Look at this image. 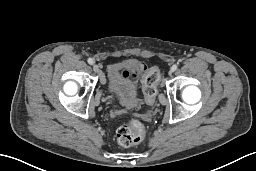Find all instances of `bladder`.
<instances>
[{
    "label": "bladder",
    "instance_id": "31cf9c89",
    "mask_svg": "<svg viewBox=\"0 0 256 171\" xmlns=\"http://www.w3.org/2000/svg\"><path fill=\"white\" fill-rule=\"evenodd\" d=\"M138 72L136 62L126 63L123 68L113 65L108 70L109 93L127 108H137L141 104Z\"/></svg>",
    "mask_w": 256,
    "mask_h": 171
}]
</instances>
